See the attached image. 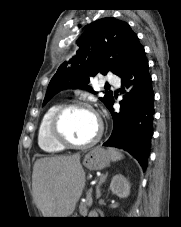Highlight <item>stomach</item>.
<instances>
[{
    "label": "stomach",
    "mask_w": 181,
    "mask_h": 227,
    "mask_svg": "<svg viewBox=\"0 0 181 227\" xmlns=\"http://www.w3.org/2000/svg\"><path fill=\"white\" fill-rule=\"evenodd\" d=\"M111 160V155L107 150L96 147L85 154L83 165L89 170H101L107 167Z\"/></svg>",
    "instance_id": "stomach-1"
}]
</instances>
